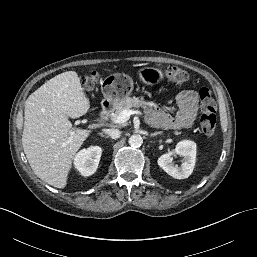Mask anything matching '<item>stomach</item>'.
Listing matches in <instances>:
<instances>
[{
  "mask_svg": "<svg viewBox=\"0 0 257 257\" xmlns=\"http://www.w3.org/2000/svg\"><path fill=\"white\" fill-rule=\"evenodd\" d=\"M138 74L146 85H153L158 79L162 78L163 73L160 69L147 66L139 69ZM133 89V83L130 78L110 77L102 83L101 91L104 96L102 105L116 106L120 101L130 95Z\"/></svg>",
  "mask_w": 257,
  "mask_h": 257,
  "instance_id": "1",
  "label": "stomach"
}]
</instances>
